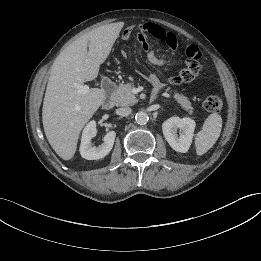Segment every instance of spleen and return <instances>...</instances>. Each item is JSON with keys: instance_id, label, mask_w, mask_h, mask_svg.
Instances as JSON below:
<instances>
[{"instance_id": "obj_1", "label": "spleen", "mask_w": 261, "mask_h": 261, "mask_svg": "<svg viewBox=\"0 0 261 261\" xmlns=\"http://www.w3.org/2000/svg\"><path fill=\"white\" fill-rule=\"evenodd\" d=\"M222 129V118L219 114H210L201 131L196 134L195 145L198 156L205 154L218 140Z\"/></svg>"}]
</instances>
